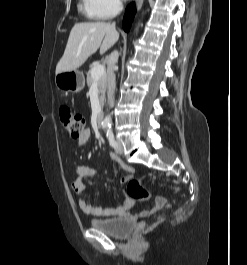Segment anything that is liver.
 <instances>
[{
    "label": "liver",
    "instance_id": "6515ba94",
    "mask_svg": "<svg viewBox=\"0 0 247 265\" xmlns=\"http://www.w3.org/2000/svg\"><path fill=\"white\" fill-rule=\"evenodd\" d=\"M119 39V33L109 23H76L71 29L64 54L56 66V74L73 71L100 48L105 53Z\"/></svg>",
    "mask_w": 247,
    "mask_h": 265
}]
</instances>
